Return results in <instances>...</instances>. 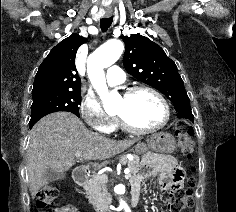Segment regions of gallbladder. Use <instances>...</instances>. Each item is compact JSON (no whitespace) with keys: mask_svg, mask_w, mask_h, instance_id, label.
Returning <instances> with one entry per match:
<instances>
[{"mask_svg":"<svg viewBox=\"0 0 236 212\" xmlns=\"http://www.w3.org/2000/svg\"><path fill=\"white\" fill-rule=\"evenodd\" d=\"M44 178L47 181H56V180L64 179L65 174L57 172L52 168H47L44 172Z\"/></svg>","mask_w":236,"mask_h":212,"instance_id":"gallbladder-1","label":"gallbladder"}]
</instances>
